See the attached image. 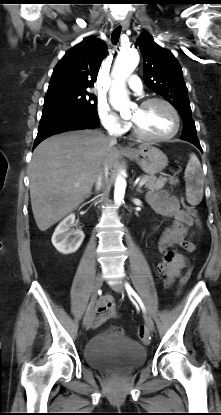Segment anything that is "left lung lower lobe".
Instances as JSON below:
<instances>
[{
    "mask_svg": "<svg viewBox=\"0 0 221 415\" xmlns=\"http://www.w3.org/2000/svg\"><path fill=\"white\" fill-rule=\"evenodd\" d=\"M181 139L194 144L198 149L202 151L196 132L194 131L182 132Z\"/></svg>",
    "mask_w": 221,
    "mask_h": 415,
    "instance_id": "left-lung-lower-lobe-1",
    "label": "left lung lower lobe"
}]
</instances>
